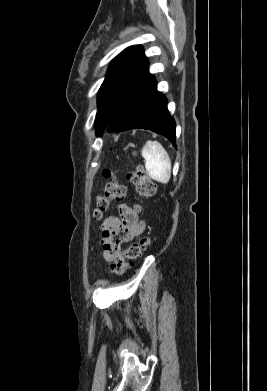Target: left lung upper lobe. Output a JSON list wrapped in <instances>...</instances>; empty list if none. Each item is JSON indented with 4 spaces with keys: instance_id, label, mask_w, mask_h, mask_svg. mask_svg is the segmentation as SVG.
<instances>
[{
    "instance_id": "left-lung-upper-lobe-1",
    "label": "left lung upper lobe",
    "mask_w": 267,
    "mask_h": 391,
    "mask_svg": "<svg viewBox=\"0 0 267 391\" xmlns=\"http://www.w3.org/2000/svg\"><path fill=\"white\" fill-rule=\"evenodd\" d=\"M148 65L139 45L126 48L112 60L98 92L97 136H101L108 127L122 100L149 73Z\"/></svg>"
}]
</instances>
